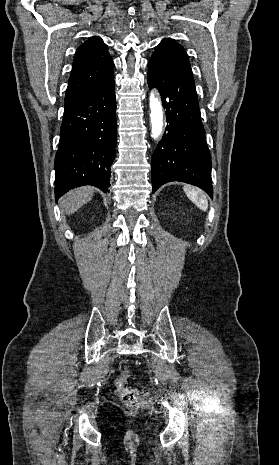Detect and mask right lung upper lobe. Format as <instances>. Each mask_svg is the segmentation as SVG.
<instances>
[{"label":"right lung upper lobe","mask_w":279,"mask_h":465,"mask_svg":"<svg viewBox=\"0 0 279 465\" xmlns=\"http://www.w3.org/2000/svg\"><path fill=\"white\" fill-rule=\"evenodd\" d=\"M114 63L101 38L93 36L75 53L65 94V108L90 95L113 74Z\"/></svg>","instance_id":"1"}]
</instances>
